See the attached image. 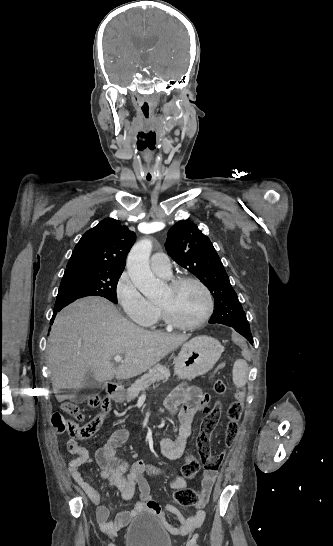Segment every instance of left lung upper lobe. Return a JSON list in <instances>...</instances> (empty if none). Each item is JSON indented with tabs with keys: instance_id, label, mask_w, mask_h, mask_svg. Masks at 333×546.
Segmentation results:
<instances>
[{
	"instance_id": "1",
	"label": "left lung upper lobe",
	"mask_w": 333,
	"mask_h": 546,
	"mask_svg": "<svg viewBox=\"0 0 333 546\" xmlns=\"http://www.w3.org/2000/svg\"><path fill=\"white\" fill-rule=\"evenodd\" d=\"M166 250L180 266L200 279L214 297L211 318L235 325L246 320L245 312L210 239L192 221L177 222L168 232Z\"/></svg>"
}]
</instances>
